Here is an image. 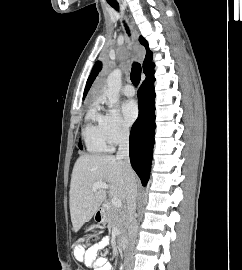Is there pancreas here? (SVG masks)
Returning a JSON list of instances; mask_svg holds the SVG:
<instances>
[{
    "label": "pancreas",
    "mask_w": 242,
    "mask_h": 270,
    "mask_svg": "<svg viewBox=\"0 0 242 270\" xmlns=\"http://www.w3.org/2000/svg\"><path fill=\"white\" fill-rule=\"evenodd\" d=\"M106 222L109 226H115L121 234L125 233L128 228L126 211L122 208H116L112 204L106 207Z\"/></svg>",
    "instance_id": "obj_1"
}]
</instances>
